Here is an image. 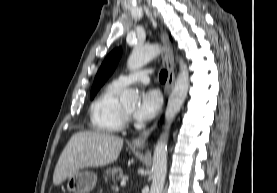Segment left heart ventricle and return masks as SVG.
I'll return each instance as SVG.
<instances>
[{
    "label": "left heart ventricle",
    "instance_id": "1",
    "mask_svg": "<svg viewBox=\"0 0 277 193\" xmlns=\"http://www.w3.org/2000/svg\"><path fill=\"white\" fill-rule=\"evenodd\" d=\"M125 110L128 111L129 113H132L135 109L134 105H126L124 106Z\"/></svg>",
    "mask_w": 277,
    "mask_h": 193
}]
</instances>
